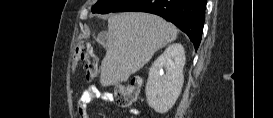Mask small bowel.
Listing matches in <instances>:
<instances>
[{"label":"small bowel","instance_id":"obj_1","mask_svg":"<svg viewBox=\"0 0 273 118\" xmlns=\"http://www.w3.org/2000/svg\"><path fill=\"white\" fill-rule=\"evenodd\" d=\"M96 97H101L107 102L113 101V96L111 93H107V92L101 93L96 87L88 86L82 93L77 103V110L81 118H89L88 106H89V103ZM123 113H128L130 115H137L138 110L133 108V109H129L128 111H123Z\"/></svg>","mask_w":273,"mask_h":118}]
</instances>
